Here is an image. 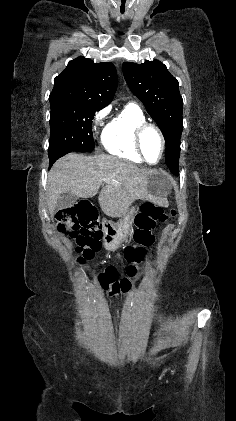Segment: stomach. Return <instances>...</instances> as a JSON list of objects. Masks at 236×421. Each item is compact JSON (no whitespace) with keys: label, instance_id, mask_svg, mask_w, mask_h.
I'll return each instance as SVG.
<instances>
[{"label":"stomach","instance_id":"1","mask_svg":"<svg viewBox=\"0 0 236 421\" xmlns=\"http://www.w3.org/2000/svg\"><path fill=\"white\" fill-rule=\"evenodd\" d=\"M149 190L155 198H165L167 194L165 174L163 170H151L148 174ZM137 211L135 206L120 217L118 223H108V231L104 235V247L106 251H117L122 243L128 241L133 233V225Z\"/></svg>","mask_w":236,"mask_h":421}]
</instances>
